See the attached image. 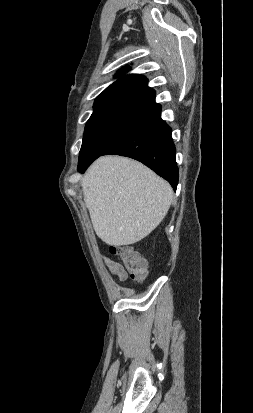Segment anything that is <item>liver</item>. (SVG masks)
<instances>
[{
	"instance_id": "obj_1",
	"label": "liver",
	"mask_w": 253,
	"mask_h": 413,
	"mask_svg": "<svg viewBox=\"0 0 253 413\" xmlns=\"http://www.w3.org/2000/svg\"><path fill=\"white\" fill-rule=\"evenodd\" d=\"M93 228L105 243L134 244L165 218L173 199L168 182L143 164L102 156L81 181Z\"/></svg>"
}]
</instances>
